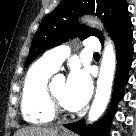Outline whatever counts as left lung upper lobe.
<instances>
[{"instance_id":"5c2ea615","label":"left lung upper lobe","mask_w":136,"mask_h":136,"mask_svg":"<svg viewBox=\"0 0 136 136\" xmlns=\"http://www.w3.org/2000/svg\"><path fill=\"white\" fill-rule=\"evenodd\" d=\"M90 13L98 16L112 35L128 16V5L125 0H63L42 20L33 38L25 66L42 52L68 41L70 37L85 39L96 36L102 42L100 31L76 22L78 16Z\"/></svg>"}]
</instances>
